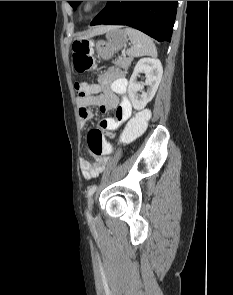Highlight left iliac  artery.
Returning a JSON list of instances; mask_svg holds the SVG:
<instances>
[{
    "label": "left iliac artery",
    "mask_w": 233,
    "mask_h": 295,
    "mask_svg": "<svg viewBox=\"0 0 233 295\" xmlns=\"http://www.w3.org/2000/svg\"><path fill=\"white\" fill-rule=\"evenodd\" d=\"M96 189H97V186L96 185L90 187L88 189V197H90L91 195H93V193L96 191ZM88 217H89V215H88Z\"/></svg>",
    "instance_id": "obj_1"
}]
</instances>
